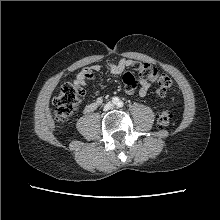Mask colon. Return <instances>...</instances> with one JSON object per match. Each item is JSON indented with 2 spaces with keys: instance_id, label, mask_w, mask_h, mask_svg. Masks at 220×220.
I'll use <instances>...</instances> for the list:
<instances>
[{
  "instance_id": "1",
  "label": "colon",
  "mask_w": 220,
  "mask_h": 220,
  "mask_svg": "<svg viewBox=\"0 0 220 220\" xmlns=\"http://www.w3.org/2000/svg\"><path fill=\"white\" fill-rule=\"evenodd\" d=\"M137 76L141 79L152 82L160 96H166L173 87V80L165 73L160 72L155 66L149 63L135 62L132 69L123 75L125 88L136 89ZM82 89L71 82L64 83L54 100V116L58 122L68 120L79 105ZM173 118L171 110H165L158 116V124L161 127H168Z\"/></svg>"
}]
</instances>
